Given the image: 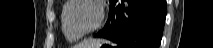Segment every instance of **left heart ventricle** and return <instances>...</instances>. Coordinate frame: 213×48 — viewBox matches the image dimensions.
I'll use <instances>...</instances> for the list:
<instances>
[{
    "mask_svg": "<svg viewBox=\"0 0 213 48\" xmlns=\"http://www.w3.org/2000/svg\"><path fill=\"white\" fill-rule=\"evenodd\" d=\"M98 19L96 7L88 2L74 3L67 13L69 28L76 33H82L92 28Z\"/></svg>",
    "mask_w": 213,
    "mask_h": 48,
    "instance_id": "obj_1",
    "label": "left heart ventricle"
}]
</instances>
